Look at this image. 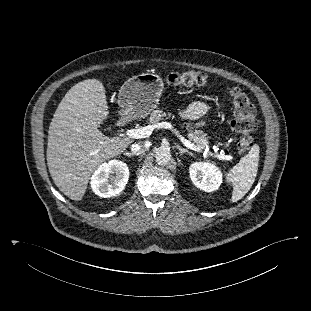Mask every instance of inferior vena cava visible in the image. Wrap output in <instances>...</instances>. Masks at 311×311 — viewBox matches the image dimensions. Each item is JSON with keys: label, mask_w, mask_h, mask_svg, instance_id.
I'll use <instances>...</instances> for the list:
<instances>
[{"label": "inferior vena cava", "mask_w": 311, "mask_h": 311, "mask_svg": "<svg viewBox=\"0 0 311 311\" xmlns=\"http://www.w3.org/2000/svg\"><path fill=\"white\" fill-rule=\"evenodd\" d=\"M145 150H146V147L144 144L135 143V144H132L131 146V152L136 155H139L145 152Z\"/></svg>", "instance_id": "602c4592"}]
</instances>
